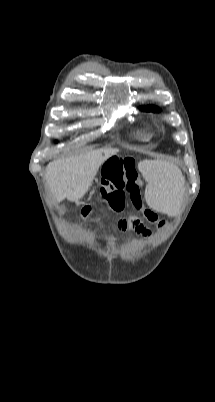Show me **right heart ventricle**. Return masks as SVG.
<instances>
[{"label":"right heart ventricle","mask_w":215,"mask_h":402,"mask_svg":"<svg viewBox=\"0 0 215 402\" xmlns=\"http://www.w3.org/2000/svg\"><path fill=\"white\" fill-rule=\"evenodd\" d=\"M135 134L138 138L142 139V140H147L150 137L149 132L147 131L146 128L142 127V128H138L135 131Z\"/></svg>","instance_id":"1"}]
</instances>
